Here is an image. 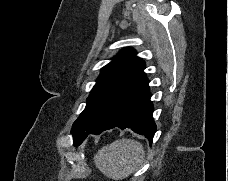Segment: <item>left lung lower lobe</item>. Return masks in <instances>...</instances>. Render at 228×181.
<instances>
[{"mask_svg":"<svg viewBox=\"0 0 228 181\" xmlns=\"http://www.w3.org/2000/svg\"><path fill=\"white\" fill-rule=\"evenodd\" d=\"M148 83L149 81L145 77L131 96L123 117L117 124L110 127L94 128L78 132L73 135L74 145H80L89 134L99 135L103 131L114 127L130 128L138 134L145 135L151 144L156 132V125L152 118L153 104L150 100L151 94Z\"/></svg>","mask_w":228,"mask_h":181,"instance_id":"1","label":"left lung lower lobe"}]
</instances>
